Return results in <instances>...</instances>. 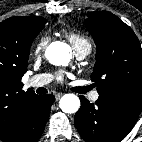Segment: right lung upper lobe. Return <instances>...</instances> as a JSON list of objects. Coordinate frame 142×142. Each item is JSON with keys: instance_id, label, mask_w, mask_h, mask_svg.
<instances>
[{"instance_id": "1", "label": "right lung upper lobe", "mask_w": 142, "mask_h": 142, "mask_svg": "<svg viewBox=\"0 0 142 142\" xmlns=\"http://www.w3.org/2000/svg\"><path fill=\"white\" fill-rule=\"evenodd\" d=\"M45 24L46 19L38 16L11 17L0 23V139L14 132L37 96L22 90L21 79L27 71L31 40Z\"/></svg>"}]
</instances>
